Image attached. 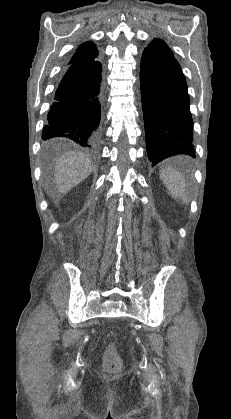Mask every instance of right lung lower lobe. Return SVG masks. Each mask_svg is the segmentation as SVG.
Segmentation results:
<instances>
[{
	"instance_id": "98d812e1",
	"label": "right lung lower lobe",
	"mask_w": 231,
	"mask_h": 419,
	"mask_svg": "<svg viewBox=\"0 0 231 419\" xmlns=\"http://www.w3.org/2000/svg\"><path fill=\"white\" fill-rule=\"evenodd\" d=\"M101 63H68L47 116L42 139L63 137L95 150L100 137Z\"/></svg>"
}]
</instances>
